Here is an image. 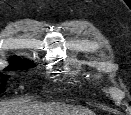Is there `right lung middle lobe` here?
I'll use <instances>...</instances> for the list:
<instances>
[{"label":"right lung middle lobe","instance_id":"obj_1","mask_svg":"<svg viewBox=\"0 0 131 115\" xmlns=\"http://www.w3.org/2000/svg\"><path fill=\"white\" fill-rule=\"evenodd\" d=\"M34 67V63L24 62L23 60H19L17 63H14V65L9 68L8 70H23L28 69L29 67ZM3 87L0 86V93L3 92Z\"/></svg>","mask_w":131,"mask_h":115}]
</instances>
